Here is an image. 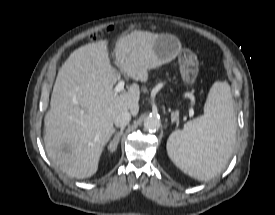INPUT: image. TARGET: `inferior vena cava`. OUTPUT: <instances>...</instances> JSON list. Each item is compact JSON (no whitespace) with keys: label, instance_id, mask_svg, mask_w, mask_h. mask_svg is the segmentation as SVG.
I'll return each instance as SVG.
<instances>
[{"label":"inferior vena cava","instance_id":"inferior-vena-cava-1","mask_svg":"<svg viewBox=\"0 0 275 215\" xmlns=\"http://www.w3.org/2000/svg\"><path fill=\"white\" fill-rule=\"evenodd\" d=\"M131 120V114L126 110L118 113L114 118V124L117 127H125Z\"/></svg>","mask_w":275,"mask_h":215}]
</instances>
